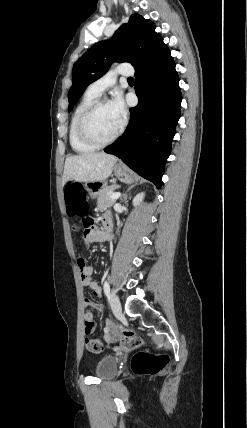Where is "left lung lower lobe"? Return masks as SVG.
Masks as SVG:
<instances>
[{"label": "left lung lower lobe", "mask_w": 247, "mask_h": 428, "mask_svg": "<svg viewBox=\"0 0 247 428\" xmlns=\"http://www.w3.org/2000/svg\"><path fill=\"white\" fill-rule=\"evenodd\" d=\"M135 76L139 103L130 108V122L122 137L104 151L120 158L159 189L182 101L170 50L166 48L135 69Z\"/></svg>", "instance_id": "left-lung-lower-lobe-1"}]
</instances>
